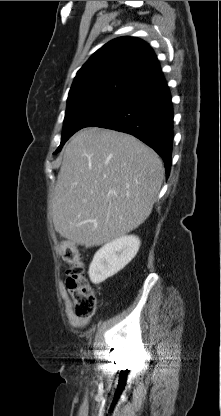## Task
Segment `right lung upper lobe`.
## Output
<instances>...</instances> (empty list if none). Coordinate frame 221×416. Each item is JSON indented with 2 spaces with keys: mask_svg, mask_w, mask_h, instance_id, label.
I'll return each instance as SVG.
<instances>
[{
  "mask_svg": "<svg viewBox=\"0 0 221 416\" xmlns=\"http://www.w3.org/2000/svg\"><path fill=\"white\" fill-rule=\"evenodd\" d=\"M163 80L151 47L135 37H120L97 50L77 72L68 101L97 91L130 94Z\"/></svg>",
  "mask_w": 221,
  "mask_h": 416,
  "instance_id": "obj_1",
  "label": "right lung upper lobe"
}]
</instances>
